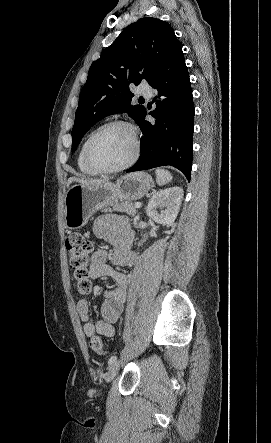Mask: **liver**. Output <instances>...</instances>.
I'll list each match as a JSON object with an SVG mask.
<instances>
[{
    "label": "liver",
    "instance_id": "liver-1",
    "mask_svg": "<svg viewBox=\"0 0 271 443\" xmlns=\"http://www.w3.org/2000/svg\"><path fill=\"white\" fill-rule=\"evenodd\" d=\"M72 182H78V184H81V186H94V184H104L102 180H80V178H69V180H67V188H69Z\"/></svg>",
    "mask_w": 271,
    "mask_h": 443
}]
</instances>
